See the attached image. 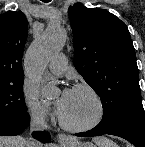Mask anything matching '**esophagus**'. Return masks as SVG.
I'll return each instance as SVG.
<instances>
[{
	"label": "esophagus",
	"instance_id": "obj_1",
	"mask_svg": "<svg viewBox=\"0 0 145 147\" xmlns=\"http://www.w3.org/2000/svg\"><path fill=\"white\" fill-rule=\"evenodd\" d=\"M57 139L60 143L69 142L71 139L64 133H59Z\"/></svg>",
	"mask_w": 145,
	"mask_h": 147
}]
</instances>
